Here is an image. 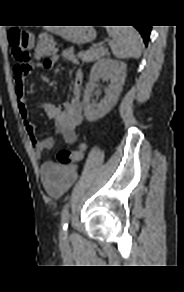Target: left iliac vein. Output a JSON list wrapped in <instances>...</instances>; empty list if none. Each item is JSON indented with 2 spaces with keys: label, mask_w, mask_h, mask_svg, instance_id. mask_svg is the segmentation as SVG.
I'll list each match as a JSON object with an SVG mask.
<instances>
[{
  "label": "left iliac vein",
  "mask_w": 184,
  "mask_h": 292,
  "mask_svg": "<svg viewBox=\"0 0 184 292\" xmlns=\"http://www.w3.org/2000/svg\"><path fill=\"white\" fill-rule=\"evenodd\" d=\"M64 234H65V232L63 231L61 235L63 236Z\"/></svg>",
  "instance_id": "obj_1"
}]
</instances>
